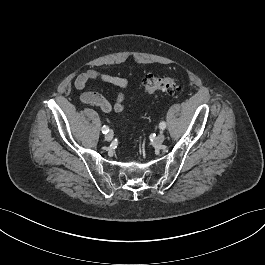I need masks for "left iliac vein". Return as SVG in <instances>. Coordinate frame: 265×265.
<instances>
[{
    "instance_id": "obj_1",
    "label": "left iliac vein",
    "mask_w": 265,
    "mask_h": 265,
    "mask_svg": "<svg viewBox=\"0 0 265 265\" xmlns=\"http://www.w3.org/2000/svg\"><path fill=\"white\" fill-rule=\"evenodd\" d=\"M165 140V135L163 132L159 133L157 137L153 140L154 146H160Z\"/></svg>"
}]
</instances>
